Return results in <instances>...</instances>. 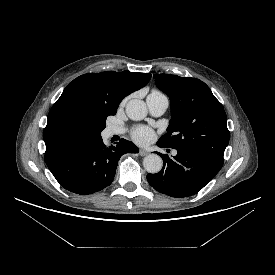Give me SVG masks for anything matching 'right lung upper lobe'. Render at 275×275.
<instances>
[{
	"instance_id": "cb5924a9",
	"label": "right lung upper lobe",
	"mask_w": 275,
	"mask_h": 275,
	"mask_svg": "<svg viewBox=\"0 0 275 275\" xmlns=\"http://www.w3.org/2000/svg\"><path fill=\"white\" fill-rule=\"evenodd\" d=\"M150 78L149 73L129 71L88 73L77 77L66 86L48 114L43 134L45 144L71 138L65 124L71 111L100 105L118 108L125 96L144 87Z\"/></svg>"
}]
</instances>
